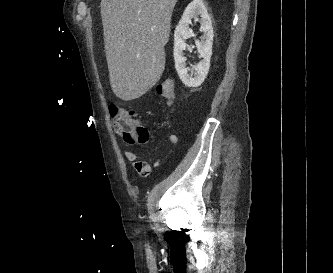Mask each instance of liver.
<instances>
[{
	"mask_svg": "<svg viewBox=\"0 0 333 273\" xmlns=\"http://www.w3.org/2000/svg\"><path fill=\"white\" fill-rule=\"evenodd\" d=\"M177 1L101 0L110 84L121 100L141 97L161 78Z\"/></svg>",
	"mask_w": 333,
	"mask_h": 273,
	"instance_id": "obj_1",
	"label": "liver"
}]
</instances>
